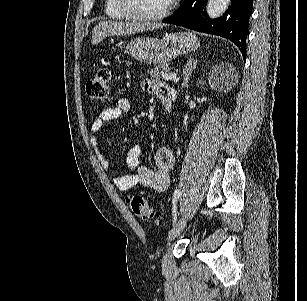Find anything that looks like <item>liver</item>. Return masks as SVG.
<instances>
[{
  "label": "liver",
  "mask_w": 307,
  "mask_h": 301,
  "mask_svg": "<svg viewBox=\"0 0 307 301\" xmlns=\"http://www.w3.org/2000/svg\"><path fill=\"white\" fill-rule=\"evenodd\" d=\"M165 24L161 22H124V20H100L95 24L92 32V44H98L106 36H123V34H135L143 30H158Z\"/></svg>",
  "instance_id": "obj_1"
}]
</instances>
